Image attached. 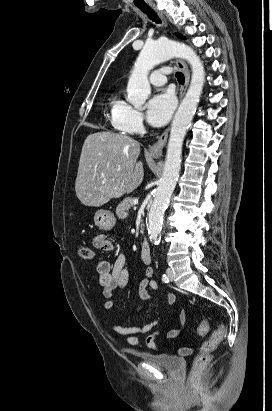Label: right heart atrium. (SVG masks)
<instances>
[{
	"label": "right heart atrium",
	"instance_id": "obj_1",
	"mask_svg": "<svg viewBox=\"0 0 272 411\" xmlns=\"http://www.w3.org/2000/svg\"><path fill=\"white\" fill-rule=\"evenodd\" d=\"M116 121L128 133H139L144 128L142 113L124 101L118 109Z\"/></svg>",
	"mask_w": 272,
	"mask_h": 411
}]
</instances>
